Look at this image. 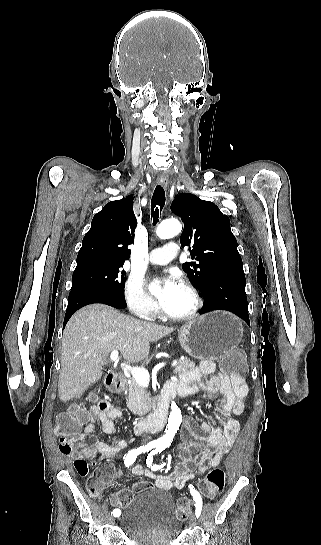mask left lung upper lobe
<instances>
[{"instance_id": "1", "label": "left lung upper lobe", "mask_w": 321, "mask_h": 545, "mask_svg": "<svg viewBox=\"0 0 321 545\" xmlns=\"http://www.w3.org/2000/svg\"><path fill=\"white\" fill-rule=\"evenodd\" d=\"M171 211L184 223L180 238L182 247L193 248L191 258L197 260L184 263L183 270L201 291L215 274L243 268L230 220L214 203L182 193L175 197Z\"/></svg>"}]
</instances>
